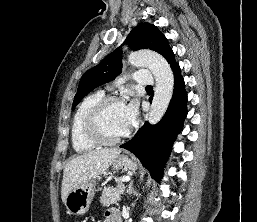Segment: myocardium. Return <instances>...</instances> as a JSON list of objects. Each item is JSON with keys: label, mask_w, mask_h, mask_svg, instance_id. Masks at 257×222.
Returning a JSON list of instances; mask_svg holds the SVG:
<instances>
[{"label": "myocardium", "mask_w": 257, "mask_h": 222, "mask_svg": "<svg viewBox=\"0 0 257 222\" xmlns=\"http://www.w3.org/2000/svg\"><path fill=\"white\" fill-rule=\"evenodd\" d=\"M114 104L124 105V101L119 97H104L99 102H97L88 112L85 122H84V132L86 136L95 144L101 146H111L116 145L128 137V131L122 136L116 138L106 137L100 126V120L103 113Z\"/></svg>", "instance_id": "obj_1"}]
</instances>
